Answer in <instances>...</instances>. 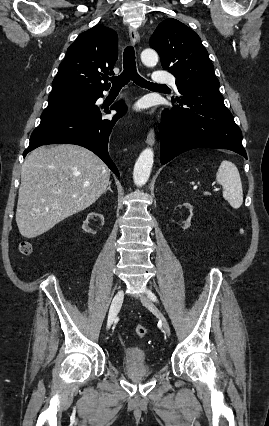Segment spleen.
<instances>
[{
    "label": "spleen",
    "mask_w": 269,
    "mask_h": 426,
    "mask_svg": "<svg viewBox=\"0 0 269 426\" xmlns=\"http://www.w3.org/2000/svg\"><path fill=\"white\" fill-rule=\"evenodd\" d=\"M216 181L223 186L224 199L232 208L238 209L243 203V190L236 165L228 160L222 161L216 173Z\"/></svg>",
    "instance_id": "3e777b00"
}]
</instances>
